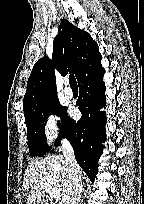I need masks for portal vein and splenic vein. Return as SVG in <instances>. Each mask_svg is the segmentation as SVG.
I'll list each match as a JSON object with an SVG mask.
<instances>
[{
	"mask_svg": "<svg viewBox=\"0 0 144 204\" xmlns=\"http://www.w3.org/2000/svg\"><path fill=\"white\" fill-rule=\"evenodd\" d=\"M44 190L49 193L51 199H58L60 197V191L57 188H52L49 183L44 185Z\"/></svg>",
	"mask_w": 144,
	"mask_h": 204,
	"instance_id": "portal-vein-and-splenic-vein-1",
	"label": "portal vein and splenic vein"
}]
</instances>
